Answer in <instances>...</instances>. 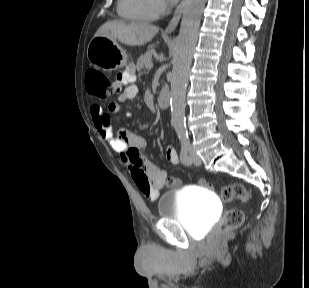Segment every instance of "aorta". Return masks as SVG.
Segmentation results:
<instances>
[{"mask_svg":"<svg viewBox=\"0 0 309 288\" xmlns=\"http://www.w3.org/2000/svg\"><path fill=\"white\" fill-rule=\"evenodd\" d=\"M206 0H187L177 37L171 78V121L179 139L187 137L185 127V95L201 17Z\"/></svg>","mask_w":309,"mask_h":288,"instance_id":"aorta-1","label":"aorta"}]
</instances>
